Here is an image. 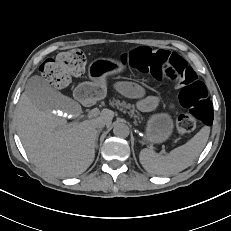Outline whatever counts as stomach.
I'll list each match as a JSON object with an SVG mask.
<instances>
[{
	"mask_svg": "<svg viewBox=\"0 0 231 231\" xmlns=\"http://www.w3.org/2000/svg\"><path fill=\"white\" fill-rule=\"evenodd\" d=\"M123 65L110 59H99L89 65L88 74L92 81L81 83L75 89L76 98L83 103L101 100L107 93L106 76L121 72ZM174 124L169 114L159 113L147 121L145 140L150 143H162L173 133Z\"/></svg>",
	"mask_w": 231,
	"mask_h": 231,
	"instance_id": "0dacf381",
	"label": "stomach"
}]
</instances>
